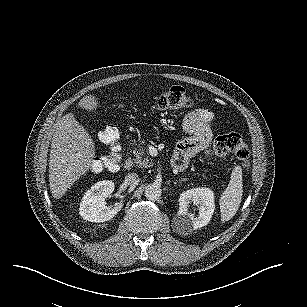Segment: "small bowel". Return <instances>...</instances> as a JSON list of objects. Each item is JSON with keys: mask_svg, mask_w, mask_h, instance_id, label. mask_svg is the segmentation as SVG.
<instances>
[{"mask_svg": "<svg viewBox=\"0 0 307 307\" xmlns=\"http://www.w3.org/2000/svg\"><path fill=\"white\" fill-rule=\"evenodd\" d=\"M213 113L207 109H196L184 117L183 127L189 136L180 141L173 155V166L184 169L189 160L202 152L212 140Z\"/></svg>", "mask_w": 307, "mask_h": 307, "instance_id": "obj_1", "label": "small bowel"}]
</instances>
